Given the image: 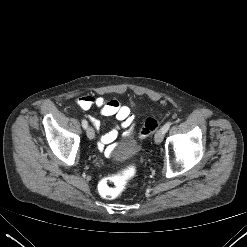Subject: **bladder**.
Returning <instances> with one entry per match:
<instances>
[{
  "label": "bladder",
  "instance_id": "31cf9c89",
  "mask_svg": "<svg viewBox=\"0 0 247 247\" xmlns=\"http://www.w3.org/2000/svg\"><path fill=\"white\" fill-rule=\"evenodd\" d=\"M139 149V145L131 135L113 153L112 158L116 161H123L133 157Z\"/></svg>",
  "mask_w": 247,
  "mask_h": 247
}]
</instances>
